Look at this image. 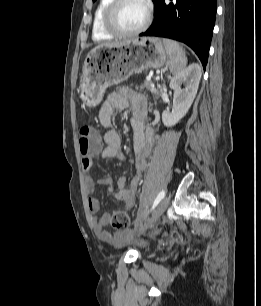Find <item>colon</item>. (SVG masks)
<instances>
[{
    "label": "colon",
    "mask_w": 261,
    "mask_h": 306,
    "mask_svg": "<svg viewBox=\"0 0 261 306\" xmlns=\"http://www.w3.org/2000/svg\"><path fill=\"white\" fill-rule=\"evenodd\" d=\"M79 147L81 155L84 159L96 155L101 149V139L94 132L91 126L85 125L79 130ZM110 224L113 228L118 230H126L130 225L129 215L122 210L113 211L110 214ZM165 236H171L174 239H179L176 232H164Z\"/></svg>",
    "instance_id": "colon-1"
}]
</instances>
